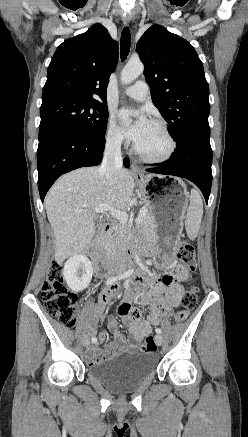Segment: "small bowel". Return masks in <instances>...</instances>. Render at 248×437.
Masks as SVG:
<instances>
[{
    "label": "small bowel",
    "instance_id": "1",
    "mask_svg": "<svg viewBox=\"0 0 248 437\" xmlns=\"http://www.w3.org/2000/svg\"><path fill=\"white\" fill-rule=\"evenodd\" d=\"M189 271L183 265H175L171 274L154 276L150 272L135 278L132 281L133 292L128 293L119 306V313L128 325L131 337L137 341H142L151 333L153 326L160 323L162 317L171 313L172 308L180 304L184 289L182 282L188 278ZM118 285L113 284L103 290L99 296V309L107 307L118 291ZM136 299L140 300L142 306L150 305L151 313L143 318L140 311L131 309L130 304ZM110 332L114 335V341L105 344L103 348H98L93 343L87 348V359L90 364H97L106 361L125 350H135L136 345L129 343L125 334L118 327L114 318L108 322ZM97 341L104 343L106 334L100 333Z\"/></svg>",
    "mask_w": 248,
    "mask_h": 437
}]
</instances>
